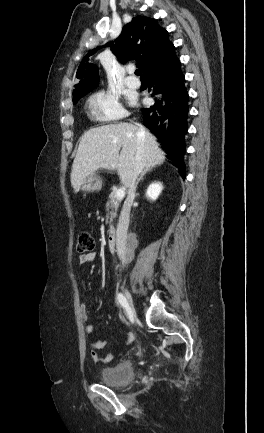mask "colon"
<instances>
[{
	"label": "colon",
	"instance_id": "5ec220e1",
	"mask_svg": "<svg viewBox=\"0 0 264 433\" xmlns=\"http://www.w3.org/2000/svg\"><path fill=\"white\" fill-rule=\"evenodd\" d=\"M95 242L93 237L88 232H81L78 235L76 242V251L81 254L91 253L94 250Z\"/></svg>",
	"mask_w": 264,
	"mask_h": 433
}]
</instances>
